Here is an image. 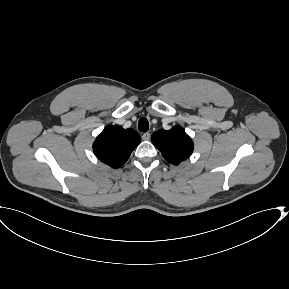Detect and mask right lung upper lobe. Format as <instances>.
I'll use <instances>...</instances> for the list:
<instances>
[{
  "label": "right lung upper lobe",
  "mask_w": 289,
  "mask_h": 289,
  "mask_svg": "<svg viewBox=\"0 0 289 289\" xmlns=\"http://www.w3.org/2000/svg\"><path fill=\"white\" fill-rule=\"evenodd\" d=\"M140 142L141 138L136 131L108 126L97 136L93 150L100 161L113 168H119Z\"/></svg>",
  "instance_id": "obj_1"
}]
</instances>
